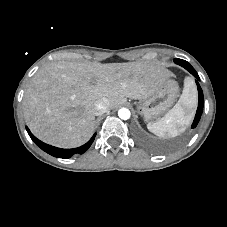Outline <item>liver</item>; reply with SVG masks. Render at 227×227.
Listing matches in <instances>:
<instances>
[{"label": "liver", "instance_id": "liver-1", "mask_svg": "<svg viewBox=\"0 0 227 227\" xmlns=\"http://www.w3.org/2000/svg\"><path fill=\"white\" fill-rule=\"evenodd\" d=\"M171 76L156 63L52 62L33 76L22 102L24 118L40 140L77 147L93 134L97 100L107 98L116 108L127 98L146 99Z\"/></svg>", "mask_w": 227, "mask_h": 227}]
</instances>
